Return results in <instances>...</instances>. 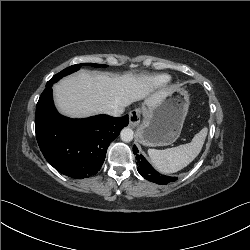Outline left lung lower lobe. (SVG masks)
<instances>
[{
  "label": "left lung lower lobe",
  "instance_id": "1",
  "mask_svg": "<svg viewBox=\"0 0 250 250\" xmlns=\"http://www.w3.org/2000/svg\"><path fill=\"white\" fill-rule=\"evenodd\" d=\"M133 153L136 154L137 160V170L141 176L145 179L157 183V184H167L169 182L175 181L176 177L161 176L144 158L143 155L138 154V149L133 146Z\"/></svg>",
  "mask_w": 250,
  "mask_h": 250
}]
</instances>
